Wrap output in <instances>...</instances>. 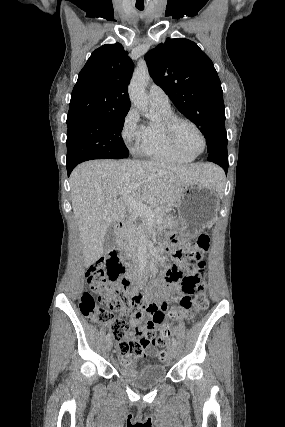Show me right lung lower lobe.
I'll use <instances>...</instances> for the list:
<instances>
[{
	"label": "right lung lower lobe",
	"instance_id": "1",
	"mask_svg": "<svg viewBox=\"0 0 285 427\" xmlns=\"http://www.w3.org/2000/svg\"><path fill=\"white\" fill-rule=\"evenodd\" d=\"M72 170H73V168H67L68 176L70 175Z\"/></svg>",
	"mask_w": 285,
	"mask_h": 427
}]
</instances>
